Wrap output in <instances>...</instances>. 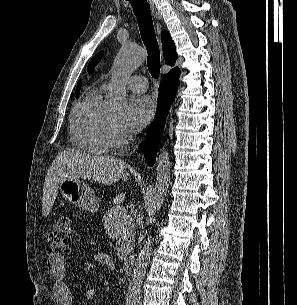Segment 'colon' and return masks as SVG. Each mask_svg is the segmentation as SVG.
<instances>
[{"label": "colon", "instance_id": "5ec220e1", "mask_svg": "<svg viewBox=\"0 0 297 305\" xmlns=\"http://www.w3.org/2000/svg\"><path fill=\"white\" fill-rule=\"evenodd\" d=\"M72 238L71 218L61 214L55 220L49 234L50 248L53 252L65 251Z\"/></svg>", "mask_w": 297, "mask_h": 305}]
</instances>
